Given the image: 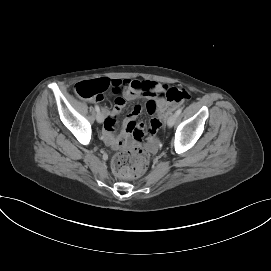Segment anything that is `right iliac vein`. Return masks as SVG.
I'll use <instances>...</instances> for the list:
<instances>
[{"instance_id":"63e3f726","label":"right iliac vein","mask_w":271,"mask_h":271,"mask_svg":"<svg viewBox=\"0 0 271 271\" xmlns=\"http://www.w3.org/2000/svg\"><path fill=\"white\" fill-rule=\"evenodd\" d=\"M96 120L98 123H102L104 121V113L103 112H98L96 115Z\"/></svg>"}]
</instances>
